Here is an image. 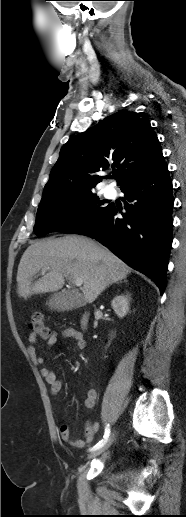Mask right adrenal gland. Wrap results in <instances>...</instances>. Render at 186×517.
<instances>
[{
  "label": "right adrenal gland",
  "instance_id": "1",
  "mask_svg": "<svg viewBox=\"0 0 186 517\" xmlns=\"http://www.w3.org/2000/svg\"><path fill=\"white\" fill-rule=\"evenodd\" d=\"M120 282H121V281H120ZM124 282H126V279H124ZM117 283H119V282H117Z\"/></svg>",
  "mask_w": 186,
  "mask_h": 517
}]
</instances>
